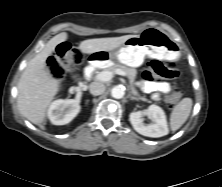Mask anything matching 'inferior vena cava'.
<instances>
[{"label": "inferior vena cava", "mask_w": 222, "mask_h": 187, "mask_svg": "<svg viewBox=\"0 0 222 187\" xmlns=\"http://www.w3.org/2000/svg\"><path fill=\"white\" fill-rule=\"evenodd\" d=\"M89 88H90V93L94 96L101 95L105 91V85L101 82H92Z\"/></svg>", "instance_id": "inferior-vena-cava-1"}]
</instances>
